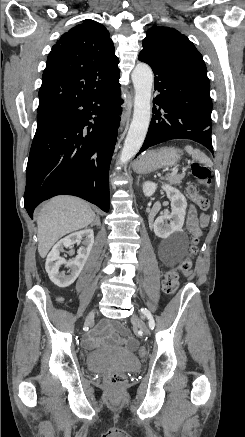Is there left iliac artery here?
I'll list each match as a JSON object with an SVG mask.
<instances>
[{
    "instance_id": "44dca946",
    "label": "left iliac artery",
    "mask_w": 245,
    "mask_h": 437,
    "mask_svg": "<svg viewBox=\"0 0 245 437\" xmlns=\"http://www.w3.org/2000/svg\"><path fill=\"white\" fill-rule=\"evenodd\" d=\"M141 313H143L148 318V320H149V327L151 329H153L155 327V321H154L153 316L150 313V311L147 310L146 308H142L141 309Z\"/></svg>"
}]
</instances>
